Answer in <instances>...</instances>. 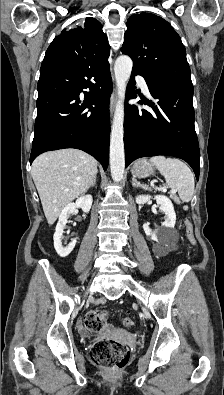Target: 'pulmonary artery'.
<instances>
[{
	"label": "pulmonary artery",
	"instance_id": "e3ab8cb5",
	"mask_svg": "<svg viewBox=\"0 0 224 395\" xmlns=\"http://www.w3.org/2000/svg\"><path fill=\"white\" fill-rule=\"evenodd\" d=\"M136 80H137L141 90L143 91V93L146 95H149V89H148V86H147V83H146L144 77L138 75V76H136Z\"/></svg>",
	"mask_w": 224,
	"mask_h": 395
}]
</instances>
